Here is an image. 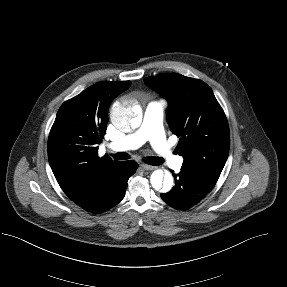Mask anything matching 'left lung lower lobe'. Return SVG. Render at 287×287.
Returning a JSON list of instances; mask_svg holds the SVG:
<instances>
[{
  "label": "left lung lower lobe",
  "instance_id": "obj_1",
  "mask_svg": "<svg viewBox=\"0 0 287 287\" xmlns=\"http://www.w3.org/2000/svg\"><path fill=\"white\" fill-rule=\"evenodd\" d=\"M171 172L175 178V186L168 193H162L161 198L175 209H189L214 187L187 167H182L179 174L172 170Z\"/></svg>",
  "mask_w": 287,
  "mask_h": 287
}]
</instances>
